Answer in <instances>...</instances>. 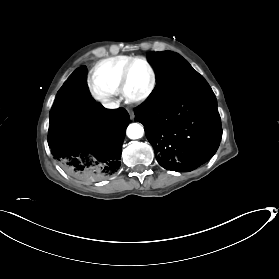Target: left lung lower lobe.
I'll list each match as a JSON object with an SVG mask.
<instances>
[{"instance_id":"obj_1","label":"left lung lower lobe","mask_w":279,"mask_h":279,"mask_svg":"<svg viewBox=\"0 0 279 279\" xmlns=\"http://www.w3.org/2000/svg\"><path fill=\"white\" fill-rule=\"evenodd\" d=\"M158 163L167 170L188 172L217 151L222 128L216 97L200 76L169 99L134 109Z\"/></svg>"}]
</instances>
